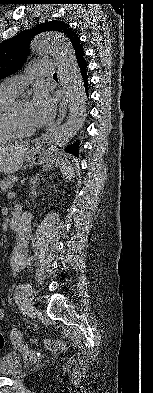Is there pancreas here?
<instances>
[{
	"label": "pancreas",
	"instance_id": "obj_1",
	"mask_svg": "<svg viewBox=\"0 0 153 393\" xmlns=\"http://www.w3.org/2000/svg\"><path fill=\"white\" fill-rule=\"evenodd\" d=\"M15 181L16 179L13 176H8L3 179H0V189L6 192L8 189H11L13 187Z\"/></svg>",
	"mask_w": 153,
	"mask_h": 393
}]
</instances>
